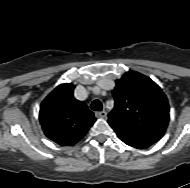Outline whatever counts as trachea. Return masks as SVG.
<instances>
[{"label":"trachea","instance_id":"1","mask_svg":"<svg viewBox=\"0 0 190 188\" xmlns=\"http://www.w3.org/2000/svg\"><path fill=\"white\" fill-rule=\"evenodd\" d=\"M91 109L94 110V111H102V103L100 100H94L92 103H91Z\"/></svg>","mask_w":190,"mask_h":188}]
</instances>
